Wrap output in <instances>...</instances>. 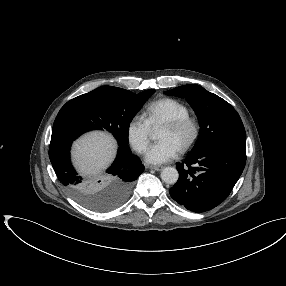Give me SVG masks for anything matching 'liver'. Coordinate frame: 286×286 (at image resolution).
Masks as SVG:
<instances>
[{
  "label": "liver",
  "instance_id": "6515ba94",
  "mask_svg": "<svg viewBox=\"0 0 286 286\" xmlns=\"http://www.w3.org/2000/svg\"><path fill=\"white\" fill-rule=\"evenodd\" d=\"M116 142L109 134L91 132L78 139L72 150L73 162L84 176H96L113 161Z\"/></svg>",
  "mask_w": 286,
  "mask_h": 286
}]
</instances>
